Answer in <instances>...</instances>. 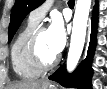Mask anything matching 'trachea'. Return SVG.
<instances>
[{
  "instance_id": "1",
  "label": "trachea",
  "mask_w": 107,
  "mask_h": 89,
  "mask_svg": "<svg viewBox=\"0 0 107 89\" xmlns=\"http://www.w3.org/2000/svg\"><path fill=\"white\" fill-rule=\"evenodd\" d=\"M68 4H69V5H74V4H75V1H74V0H70V1H68Z\"/></svg>"
}]
</instances>
